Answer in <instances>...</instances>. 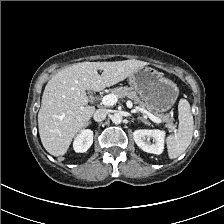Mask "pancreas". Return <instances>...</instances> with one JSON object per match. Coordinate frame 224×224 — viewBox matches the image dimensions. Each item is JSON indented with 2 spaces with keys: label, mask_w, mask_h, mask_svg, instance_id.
I'll use <instances>...</instances> for the list:
<instances>
[{
  "label": "pancreas",
  "mask_w": 224,
  "mask_h": 224,
  "mask_svg": "<svg viewBox=\"0 0 224 224\" xmlns=\"http://www.w3.org/2000/svg\"><path fill=\"white\" fill-rule=\"evenodd\" d=\"M111 93L116 95L117 98H128L132 100L134 104L138 105L141 108L146 109L150 113H153L155 116L161 118L164 122L167 123L166 125L169 128H172L174 126L172 117H170L169 115L161 114L153 110L148 104H146L145 102L141 100V98L137 95V93L131 87H128V86L116 87L111 90Z\"/></svg>",
  "instance_id": "pancreas-1"
}]
</instances>
